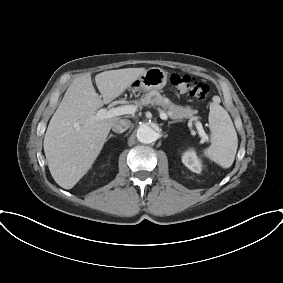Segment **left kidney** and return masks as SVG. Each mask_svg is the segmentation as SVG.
<instances>
[{
  "mask_svg": "<svg viewBox=\"0 0 283 283\" xmlns=\"http://www.w3.org/2000/svg\"><path fill=\"white\" fill-rule=\"evenodd\" d=\"M182 162L183 164L188 167L191 171L195 173L201 172V162L197 158L194 151L190 150L183 154L182 156Z\"/></svg>",
  "mask_w": 283,
  "mask_h": 283,
  "instance_id": "1",
  "label": "left kidney"
}]
</instances>
